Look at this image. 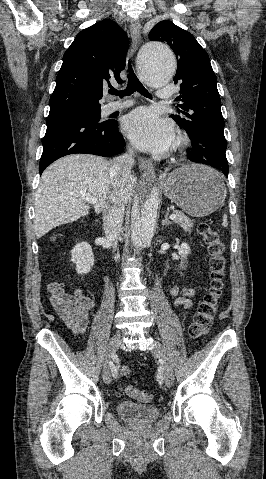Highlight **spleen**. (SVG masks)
<instances>
[{
	"label": "spleen",
	"instance_id": "obj_1",
	"mask_svg": "<svg viewBox=\"0 0 266 479\" xmlns=\"http://www.w3.org/2000/svg\"><path fill=\"white\" fill-rule=\"evenodd\" d=\"M222 225H223L224 227H227V225H228V222H227V215H226V214H224V215H223V222H222Z\"/></svg>",
	"mask_w": 266,
	"mask_h": 479
}]
</instances>
